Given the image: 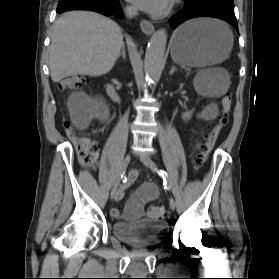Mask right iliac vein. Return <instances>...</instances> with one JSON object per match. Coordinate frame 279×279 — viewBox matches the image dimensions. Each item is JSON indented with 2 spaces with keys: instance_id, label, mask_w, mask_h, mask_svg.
Returning a JSON list of instances; mask_svg holds the SVG:
<instances>
[{
  "instance_id": "obj_1",
  "label": "right iliac vein",
  "mask_w": 279,
  "mask_h": 279,
  "mask_svg": "<svg viewBox=\"0 0 279 279\" xmlns=\"http://www.w3.org/2000/svg\"><path fill=\"white\" fill-rule=\"evenodd\" d=\"M130 160H131V156L130 154H127L122 162V165H121V169H120V172H119V176L116 180V182L114 183L112 189H111V193H110V196L111 198H115L118 194V187L120 185V182H121V179L122 177L124 176V173L130 163Z\"/></svg>"
}]
</instances>
